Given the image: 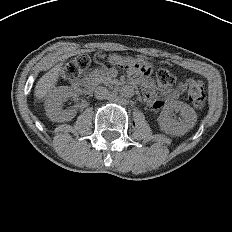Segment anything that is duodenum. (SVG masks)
<instances>
[{"instance_id":"1","label":"duodenum","mask_w":232,"mask_h":232,"mask_svg":"<svg viewBox=\"0 0 232 232\" xmlns=\"http://www.w3.org/2000/svg\"><path fill=\"white\" fill-rule=\"evenodd\" d=\"M75 88L84 93L92 91V83L88 78H84L74 84Z\"/></svg>"}]
</instances>
